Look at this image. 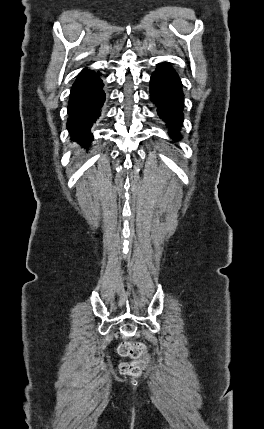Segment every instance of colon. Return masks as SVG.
Returning <instances> with one entry per match:
<instances>
[{
    "label": "colon",
    "instance_id": "colon-1",
    "mask_svg": "<svg viewBox=\"0 0 264 429\" xmlns=\"http://www.w3.org/2000/svg\"><path fill=\"white\" fill-rule=\"evenodd\" d=\"M119 353L122 356H128L132 359L131 362L123 363L120 371L124 375H137L141 371L142 364L147 356V349L141 343L126 342L120 345Z\"/></svg>",
    "mask_w": 264,
    "mask_h": 429
}]
</instances>
